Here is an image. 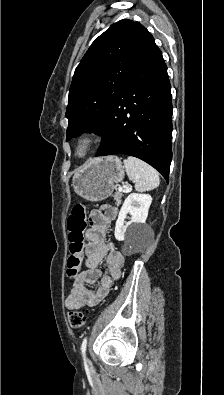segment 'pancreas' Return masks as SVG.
<instances>
[{
  "mask_svg": "<svg viewBox=\"0 0 224 395\" xmlns=\"http://www.w3.org/2000/svg\"><path fill=\"white\" fill-rule=\"evenodd\" d=\"M113 198H114V200L116 201V204H117V205L121 204L122 193L116 192V193L113 195Z\"/></svg>",
  "mask_w": 224,
  "mask_h": 395,
  "instance_id": "obj_1",
  "label": "pancreas"
}]
</instances>
